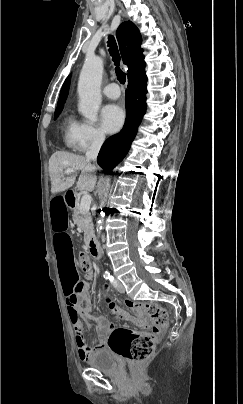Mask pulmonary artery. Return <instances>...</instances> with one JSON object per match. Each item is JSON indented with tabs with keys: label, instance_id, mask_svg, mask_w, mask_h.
I'll use <instances>...</instances> for the list:
<instances>
[{
	"label": "pulmonary artery",
	"instance_id": "1",
	"mask_svg": "<svg viewBox=\"0 0 243 404\" xmlns=\"http://www.w3.org/2000/svg\"><path fill=\"white\" fill-rule=\"evenodd\" d=\"M103 93L110 99H117L121 92L118 84L110 83L104 87Z\"/></svg>",
	"mask_w": 243,
	"mask_h": 404
}]
</instances>
